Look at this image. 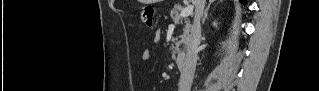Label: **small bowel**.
Returning a JSON list of instances; mask_svg holds the SVG:
<instances>
[{
	"label": "small bowel",
	"instance_id": "c3829d8e",
	"mask_svg": "<svg viewBox=\"0 0 319 91\" xmlns=\"http://www.w3.org/2000/svg\"><path fill=\"white\" fill-rule=\"evenodd\" d=\"M150 58H151V54H150L149 51H144V52L142 53V55H141V59H142V61H144V62L149 61Z\"/></svg>",
	"mask_w": 319,
	"mask_h": 91
}]
</instances>
